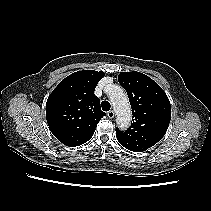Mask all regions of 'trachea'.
Masks as SVG:
<instances>
[{
	"label": "trachea",
	"mask_w": 211,
	"mask_h": 211,
	"mask_svg": "<svg viewBox=\"0 0 211 211\" xmlns=\"http://www.w3.org/2000/svg\"><path fill=\"white\" fill-rule=\"evenodd\" d=\"M101 107H102L103 111H109L110 108H111V105H110V103L108 101L104 100L101 103Z\"/></svg>",
	"instance_id": "trachea-1"
}]
</instances>
